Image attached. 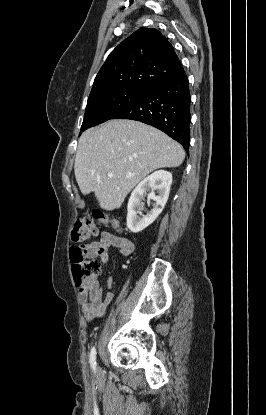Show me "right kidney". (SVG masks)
Listing matches in <instances>:
<instances>
[{"instance_id":"1","label":"right kidney","mask_w":266,"mask_h":415,"mask_svg":"<svg viewBox=\"0 0 266 415\" xmlns=\"http://www.w3.org/2000/svg\"><path fill=\"white\" fill-rule=\"evenodd\" d=\"M171 184L172 174L159 170L143 179L136 186L131 193L127 206V226L130 231L133 233L141 232L156 220L168 200ZM155 191H157V195ZM147 192L149 193L147 194ZM146 195L155 203L146 215H142L144 204L141 203V200Z\"/></svg>"}]
</instances>
